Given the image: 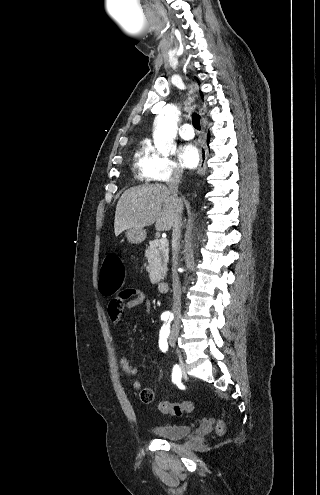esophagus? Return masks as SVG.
I'll list each match as a JSON object with an SVG mask.
<instances>
[{
  "label": "esophagus",
  "instance_id": "obj_1",
  "mask_svg": "<svg viewBox=\"0 0 320 495\" xmlns=\"http://www.w3.org/2000/svg\"><path fill=\"white\" fill-rule=\"evenodd\" d=\"M208 152L205 146L200 148V163L198 166L197 173L199 175H203L206 171V160H207Z\"/></svg>",
  "mask_w": 320,
  "mask_h": 495
}]
</instances>
